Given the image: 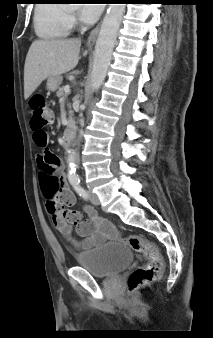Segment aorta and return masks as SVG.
I'll list each match as a JSON object with an SVG mask.
<instances>
[{
    "label": "aorta",
    "mask_w": 213,
    "mask_h": 338,
    "mask_svg": "<svg viewBox=\"0 0 213 338\" xmlns=\"http://www.w3.org/2000/svg\"><path fill=\"white\" fill-rule=\"evenodd\" d=\"M125 11L124 4H110L102 21L95 45L94 62L91 73V89L97 91L103 84L111 62L114 45ZM73 154L68 157L69 178H76Z\"/></svg>",
    "instance_id": "1"
}]
</instances>
